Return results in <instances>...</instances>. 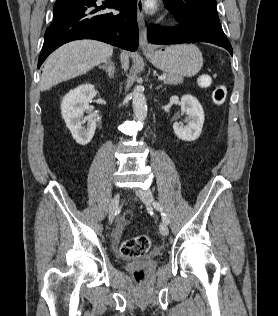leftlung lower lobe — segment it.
<instances>
[{"label": "left lung lower lobe", "mask_w": 278, "mask_h": 316, "mask_svg": "<svg viewBox=\"0 0 278 316\" xmlns=\"http://www.w3.org/2000/svg\"><path fill=\"white\" fill-rule=\"evenodd\" d=\"M180 23L181 25L175 29H164L149 25L147 27L148 41L153 44L207 42L227 49L232 55L231 44L225 35L204 27L190 26L183 22Z\"/></svg>", "instance_id": "left-lung-lower-lobe-1"}]
</instances>
